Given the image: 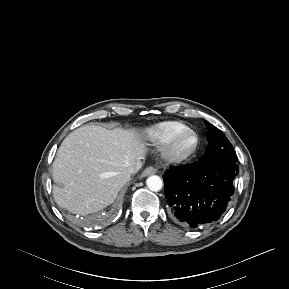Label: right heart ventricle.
<instances>
[{"instance_id":"obj_1","label":"right heart ventricle","mask_w":289,"mask_h":289,"mask_svg":"<svg viewBox=\"0 0 289 289\" xmlns=\"http://www.w3.org/2000/svg\"><path fill=\"white\" fill-rule=\"evenodd\" d=\"M189 126L181 121H165L158 123L147 130V138L156 144H165Z\"/></svg>"}]
</instances>
